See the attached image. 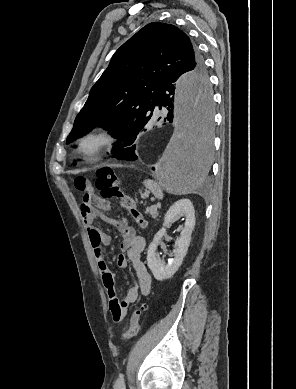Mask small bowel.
Listing matches in <instances>:
<instances>
[{
  "mask_svg": "<svg viewBox=\"0 0 296 389\" xmlns=\"http://www.w3.org/2000/svg\"><path fill=\"white\" fill-rule=\"evenodd\" d=\"M110 209L111 203L109 201L92 192L82 196L80 204L81 218L94 251L103 285L109 297L110 311L112 316L116 311H119L123 318L130 305L137 302L140 295L146 296L149 294L152 278L141 259L145 248V240L136 235L134 228L127 218H122L121 220L108 219V221L118 229L122 236V241L120 243L122 253L117 258L118 266L126 268L128 263H131L137 277V285L130 287L122 299L118 297L115 288V278L107 265L103 250L104 246L110 244L111 237L94 225L95 219L103 216V213Z\"/></svg>",
  "mask_w": 296,
  "mask_h": 389,
  "instance_id": "1",
  "label": "small bowel"
}]
</instances>
